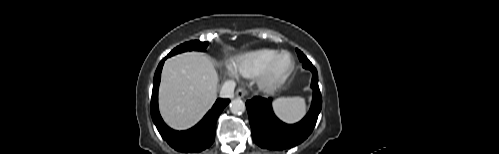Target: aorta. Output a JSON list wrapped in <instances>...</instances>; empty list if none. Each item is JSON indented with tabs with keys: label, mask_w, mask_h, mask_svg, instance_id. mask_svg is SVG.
<instances>
[{
	"label": "aorta",
	"mask_w": 499,
	"mask_h": 154,
	"mask_svg": "<svg viewBox=\"0 0 499 154\" xmlns=\"http://www.w3.org/2000/svg\"><path fill=\"white\" fill-rule=\"evenodd\" d=\"M229 106L231 113L236 115L242 114L246 109L245 103L241 99L232 100Z\"/></svg>",
	"instance_id": "762f6f07"
}]
</instances>
